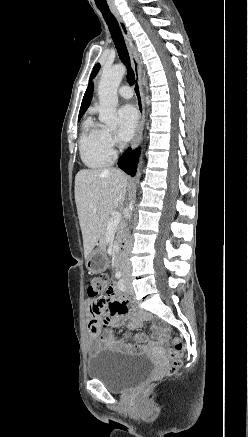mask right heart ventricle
<instances>
[{"label":"right heart ventricle","mask_w":248,"mask_h":437,"mask_svg":"<svg viewBox=\"0 0 248 437\" xmlns=\"http://www.w3.org/2000/svg\"><path fill=\"white\" fill-rule=\"evenodd\" d=\"M79 151L83 163L92 169L104 168L112 161V154L104 142V129L91 117L82 123Z\"/></svg>","instance_id":"right-heart-ventricle-1"}]
</instances>
